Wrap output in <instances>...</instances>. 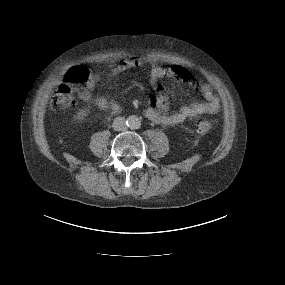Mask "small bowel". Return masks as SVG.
I'll use <instances>...</instances> for the list:
<instances>
[{
  "label": "small bowel",
  "mask_w": 285,
  "mask_h": 285,
  "mask_svg": "<svg viewBox=\"0 0 285 285\" xmlns=\"http://www.w3.org/2000/svg\"><path fill=\"white\" fill-rule=\"evenodd\" d=\"M143 61L152 66L151 75L155 81L163 76V70L156 65L153 58H145ZM134 65V62H123L118 64L114 68V71H123ZM184 71L185 72L178 73V77L184 82L194 84L195 81L192 75L186 69H184ZM174 73L177 75L175 71ZM94 87L95 81L91 80L86 86L79 88L78 94L80 99L85 102L94 101L99 109L109 111L111 113H118L121 111L119 103L110 100L105 96H97L96 98H93L92 92ZM199 91L204 101L193 103L192 105L186 106L174 113H168L169 102L167 95L164 93L155 94L152 96L151 106L146 110L145 115L149 120L156 124L173 126L200 115L217 113L220 108V103L218 98L213 94L211 86L203 84L199 86Z\"/></svg>",
  "instance_id": "c3829d8e"
}]
</instances>
